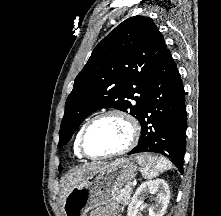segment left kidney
<instances>
[{"label":"left kidney","instance_id":"1","mask_svg":"<svg viewBox=\"0 0 221 216\" xmlns=\"http://www.w3.org/2000/svg\"><path fill=\"white\" fill-rule=\"evenodd\" d=\"M149 194H156L155 206L151 208L149 216H163L170 200V189L163 179L146 181L140 185L128 206L127 216H138L139 207Z\"/></svg>","mask_w":221,"mask_h":216}]
</instances>
